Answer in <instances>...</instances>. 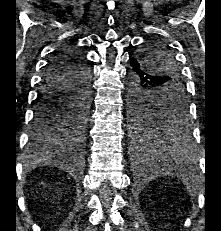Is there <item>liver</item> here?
<instances>
[{
  "instance_id": "liver-1",
  "label": "liver",
  "mask_w": 221,
  "mask_h": 231,
  "mask_svg": "<svg viewBox=\"0 0 221 231\" xmlns=\"http://www.w3.org/2000/svg\"><path fill=\"white\" fill-rule=\"evenodd\" d=\"M49 154V152H46L45 156H41L38 161L47 159Z\"/></svg>"
}]
</instances>
